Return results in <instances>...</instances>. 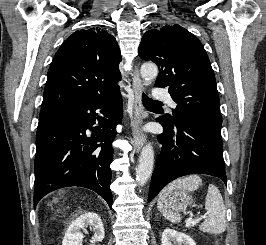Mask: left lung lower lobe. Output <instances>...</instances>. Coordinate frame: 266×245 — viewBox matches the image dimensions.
<instances>
[{"label": "left lung lower lobe", "mask_w": 266, "mask_h": 245, "mask_svg": "<svg viewBox=\"0 0 266 245\" xmlns=\"http://www.w3.org/2000/svg\"><path fill=\"white\" fill-rule=\"evenodd\" d=\"M157 121L164 133L158 136L162 149L152 175L148 202L169 182L189 174H208L227 184L221 127L192 117H180L173 126L164 117Z\"/></svg>", "instance_id": "obj_1"}]
</instances>
